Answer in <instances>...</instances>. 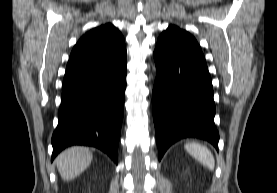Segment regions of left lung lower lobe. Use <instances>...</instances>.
Returning a JSON list of instances; mask_svg holds the SVG:
<instances>
[{"mask_svg": "<svg viewBox=\"0 0 277 193\" xmlns=\"http://www.w3.org/2000/svg\"><path fill=\"white\" fill-rule=\"evenodd\" d=\"M154 59L152 110L159 160L186 137L207 140L218 148L213 87L203 53L160 37Z\"/></svg>", "mask_w": 277, "mask_h": 193, "instance_id": "1", "label": "left lung lower lobe"}]
</instances>
